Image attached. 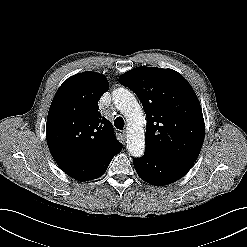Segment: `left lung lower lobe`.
<instances>
[{"mask_svg": "<svg viewBox=\"0 0 247 247\" xmlns=\"http://www.w3.org/2000/svg\"><path fill=\"white\" fill-rule=\"evenodd\" d=\"M195 161L164 157L145 151L144 156L133 160L137 174L144 181L156 185L173 183L190 170Z\"/></svg>", "mask_w": 247, "mask_h": 247, "instance_id": "obj_1", "label": "left lung lower lobe"}]
</instances>
